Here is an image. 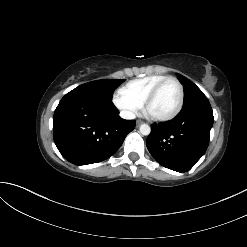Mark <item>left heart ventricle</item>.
I'll return each mask as SVG.
<instances>
[{
    "instance_id": "obj_1",
    "label": "left heart ventricle",
    "mask_w": 247,
    "mask_h": 247,
    "mask_svg": "<svg viewBox=\"0 0 247 247\" xmlns=\"http://www.w3.org/2000/svg\"><path fill=\"white\" fill-rule=\"evenodd\" d=\"M179 102V88L173 81L167 82L148 106V112L154 116H166L172 113Z\"/></svg>"
}]
</instances>
